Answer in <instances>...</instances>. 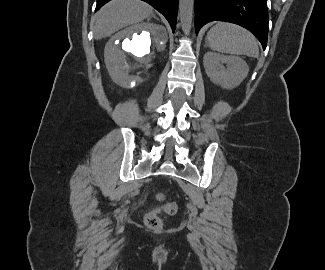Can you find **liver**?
Wrapping results in <instances>:
<instances>
[{"instance_id": "liver-1", "label": "liver", "mask_w": 325, "mask_h": 270, "mask_svg": "<svg viewBox=\"0 0 325 270\" xmlns=\"http://www.w3.org/2000/svg\"><path fill=\"white\" fill-rule=\"evenodd\" d=\"M150 5L140 0H112L104 5L93 18V32L99 40L133 24H137L150 15Z\"/></svg>"}]
</instances>
